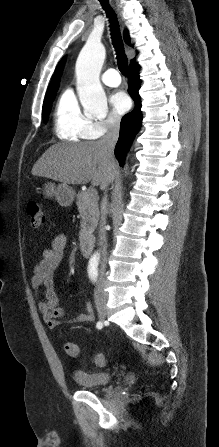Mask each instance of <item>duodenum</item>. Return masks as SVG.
Instances as JSON below:
<instances>
[{
    "mask_svg": "<svg viewBox=\"0 0 219 447\" xmlns=\"http://www.w3.org/2000/svg\"><path fill=\"white\" fill-rule=\"evenodd\" d=\"M93 241L91 238H84L80 243L81 252L85 256H89L92 251Z\"/></svg>",
    "mask_w": 219,
    "mask_h": 447,
    "instance_id": "obj_1",
    "label": "duodenum"
}]
</instances>
